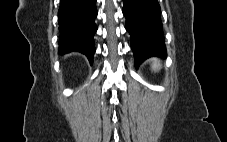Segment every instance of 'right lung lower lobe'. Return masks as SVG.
I'll list each match as a JSON object with an SVG mask.
<instances>
[{
  "label": "right lung lower lobe",
  "mask_w": 227,
  "mask_h": 142,
  "mask_svg": "<svg viewBox=\"0 0 227 142\" xmlns=\"http://www.w3.org/2000/svg\"><path fill=\"white\" fill-rule=\"evenodd\" d=\"M96 0H60L58 11L59 52L79 51L90 63L95 52L93 36L97 31Z\"/></svg>",
  "instance_id": "98d812e1"
}]
</instances>
